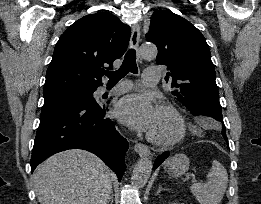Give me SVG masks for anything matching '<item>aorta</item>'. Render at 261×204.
Wrapping results in <instances>:
<instances>
[{
	"label": "aorta",
	"instance_id": "762f6f07",
	"mask_svg": "<svg viewBox=\"0 0 261 204\" xmlns=\"http://www.w3.org/2000/svg\"><path fill=\"white\" fill-rule=\"evenodd\" d=\"M140 54L145 59H152L157 56V48L155 45H142L140 47ZM152 161L149 158H142L136 164L131 182L136 188H142L147 183L152 171Z\"/></svg>",
	"mask_w": 261,
	"mask_h": 204
}]
</instances>
